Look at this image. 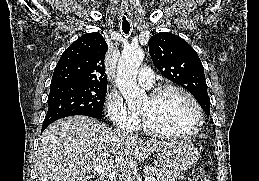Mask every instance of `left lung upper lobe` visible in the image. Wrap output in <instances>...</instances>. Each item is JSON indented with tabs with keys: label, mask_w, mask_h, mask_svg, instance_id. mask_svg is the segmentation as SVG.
Returning <instances> with one entry per match:
<instances>
[{
	"label": "left lung upper lobe",
	"mask_w": 259,
	"mask_h": 181,
	"mask_svg": "<svg viewBox=\"0 0 259 181\" xmlns=\"http://www.w3.org/2000/svg\"><path fill=\"white\" fill-rule=\"evenodd\" d=\"M148 44L152 61L161 74L187 89L209 115L210 98L197 52L184 39L168 32L153 35Z\"/></svg>",
	"instance_id": "obj_1"
}]
</instances>
